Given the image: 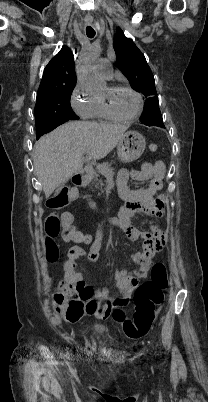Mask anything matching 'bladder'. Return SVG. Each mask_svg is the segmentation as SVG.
I'll return each mask as SVG.
<instances>
[{
    "instance_id": "bladder-1",
    "label": "bladder",
    "mask_w": 208,
    "mask_h": 402,
    "mask_svg": "<svg viewBox=\"0 0 208 402\" xmlns=\"http://www.w3.org/2000/svg\"><path fill=\"white\" fill-rule=\"evenodd\" d=\"M97 330L99 331V330H101V328H98Z\"/></svg>"
}]
</instances>
